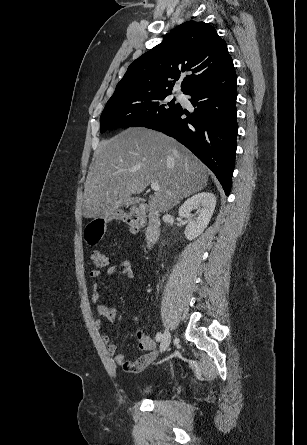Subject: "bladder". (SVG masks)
I'll return each mask as SVG.
<instances>
[{
    "label": "bladder",
    "mask_w": 307,
    "mask_h": 445,
    "mask_svg": "<svg viewBox=\"0 0 307 445\" xmlns=\"http://www.w3.org/2000/svg\"><path fill=\"white\" fill-rule=\"evenodd\" d=\"M140 391L144 395H153L156 394L159 391V389L154 384H146L143 387H141Z\"/></svg>",
    "instance_id": "bladder-1"
}]
</instances>
